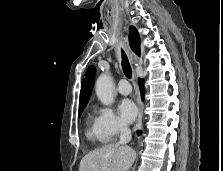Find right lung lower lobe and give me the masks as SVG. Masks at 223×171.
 <instances>
[{"mask_svg": "<svg viewBox=\"0 0 223 171\" xmlns=\"http://www.w3.org/2000/svg\"><path fill=\"white\" fill-rule=\"evenodd\" d=\"M139 86H140V91H141V95H142V99L144 98V86H143V81L141 79H139ZM138 134H140V132H138Z\"/></svg>", "mask_w": 223, "mask_h": 171, "instance_id": "obj_1", "label": "right lung lower lobe"}]
</instances>
